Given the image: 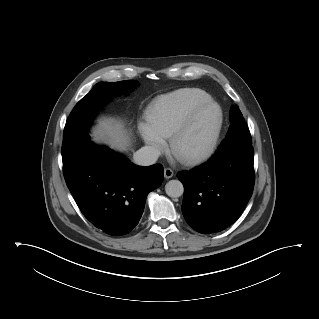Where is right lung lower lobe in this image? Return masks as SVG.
<instances>
[{
  "mask_svg": "<svg viewBox=\"0 0 319 319\" xmlns=\"http://www.w3.org/2000/svg\"><path fill=\"white\" fill-rule=\"evenodd\" d=\"M66 184L85 217L111 236L138 224L147 194L163 182V167H141L87 137L63 158Z\"/></svg>",
  "mask_w": 319,
  "mask_h": 319,
  "instance_id": "98d812e1",
  "label": "right lung lower lobe"
}]
</instances>
